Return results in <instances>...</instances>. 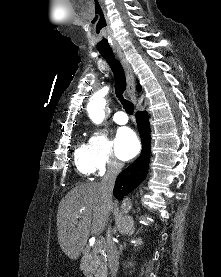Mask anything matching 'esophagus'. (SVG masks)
Instances as JSON below:
<instances>
[{
    "instance_id": "1",
    "label": "esophagus",
    "mask_w": 221,
    "mask_h": 277,
    "mask_svg": "<svg viewBox=\"0 0 221 277\" xmlns=\"http://www.w3.org/2000/svg\"><path fill=\"white\" fill-rule=\"evenodd\" d=\"M114 53L116 57L120 60L124 71L126 75V81H127V92L129 95H134L135 94V83H134V76L132 72V68L127 61L126 57L124 56V53L122 52L121 49H115Z\"/></svg>"
}]
</instances>
